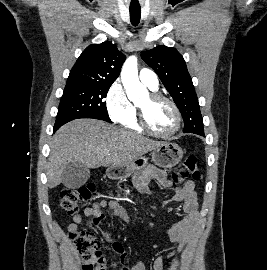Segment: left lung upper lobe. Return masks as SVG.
<instances>
[{"label":"left lung upper lobe","instance_id":"left-lung-upper-lobe-1","mask_svg":"<svg viewBox=\"0 0 267 270\" xmlns=\"http://www.w3.org/2000/svg\"><path fill=\"white\" fill-rule=\"evenodd\" d=\"M141 57L159 76L179 108L184 120V133L204 135L198 98L182 55L167 46L142 51Z\"/></svg>","mask_w":267,"mask_h":270}]
</instances>
